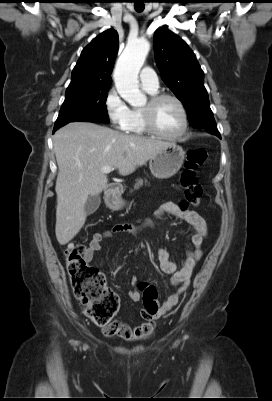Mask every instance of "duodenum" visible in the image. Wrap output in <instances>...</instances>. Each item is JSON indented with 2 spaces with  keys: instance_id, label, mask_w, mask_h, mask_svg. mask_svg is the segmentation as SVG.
Segmentation results:
<instances>
[{
  "instance_id": "duodenum-1",
  "label": "duodenum",
  "mask_w": 272,
  "mask_h": 401,
  "mask_svg": "<svg viewBox=\"0 0 272 401\" xmlns=\"http://www.w3.org/2000/svg\"><path fill=\"white\" fill-rule=\"evenodd\" d=\"M122 191V186L121 185H111L109 186L108 192H107V201L109 204H113L114 201L117 199L119 194Z\"/></svg>"
}]
</instances>
